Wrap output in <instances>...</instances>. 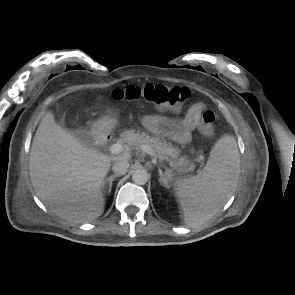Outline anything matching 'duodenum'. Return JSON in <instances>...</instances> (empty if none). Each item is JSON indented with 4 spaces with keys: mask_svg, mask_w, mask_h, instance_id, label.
<instances>
[{
    "mask_svg": "<svg viewBox=\"0 0 295 295\" xmlns=\"http://www.w3.org/2000/svg\"><path fill=\"white\" fill-rule=\"evenodd\" d=\"M109 139V136L107 134H99L97 136V141L99 144H104Z\"/></svg>",
    "mask_w": 295,
    "mask_h": 295,
    "instance_id": "410a0bca",
    "label": "duodenum"
}]
</instances>
